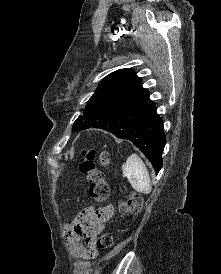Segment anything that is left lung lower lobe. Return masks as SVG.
Returning <instances> with one entry per match:
<instances>
[{"label":"left lung lower lobe","mask_w":221,"mask_h":274,"mask_svg":"<svg viewBox=\"0 0 221 274\" xmlns=\"http://www.w3.org/2000/svg\"><path fill=\"white\" fill-rule=\"evenodd\" d=\"M92 111L96 122L85 129H104L118 138L132 141L149 159L156 173L160 171L166 140L163 122L147 90L133 100H117Z\"/></svg>","instance_id":"left-lung-lower-lobe-1"}]
</instances>
